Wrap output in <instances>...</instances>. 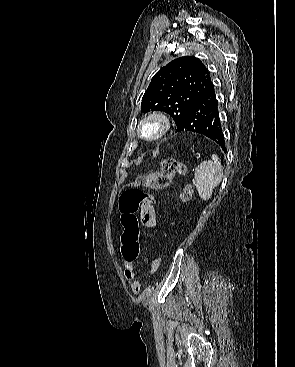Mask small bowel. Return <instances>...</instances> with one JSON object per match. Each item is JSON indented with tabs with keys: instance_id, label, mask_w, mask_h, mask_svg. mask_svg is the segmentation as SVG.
I'll return each mask as SVG.
<instances>
[{
	"instance_id": "1",
	"label": "small bowel",
	"mask_w": 295,
	"mask_h": 367,
	"mask_svg": "<svg viewBox=\"0 0 295 367\" xmlns=\"http://www.w3.org/2000/svg\"><path fill=\"white\" fill-rule=\"evenodd\" d=\"M141 221L144 226L149 228H154L156 226V212L153 206L149 205L147 201L143 202L141 209ZM122 256H123V264H124V275L127 281L129 282L130 288L134 294H138L142 289V282L137 279L135 268H134V260L128 259L124 256L123 250L121 248ZM151 273H155L157 269H154L151 266Z\"/></svg>"
}]
</instances>
